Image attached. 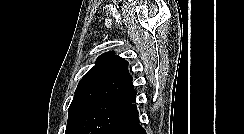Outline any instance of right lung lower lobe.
I'll list each match as a JSON object with an SVG mask.
<instances>
[{"mask_svg":"<svg viewBox=\"0 0 244 134\" xmlns=\"http://www.w3.org/2000/svg\"><path fill=\"white\" fill-rule=\"evenodd\" d=\"M105 134H146L138 121V110L132 104Z\"/></svg>","mask_w":244,"mask_h":134,"instance_id":"right-lung-lower-lobe-1","label":"right lung lower lobe"}]
</instances>
